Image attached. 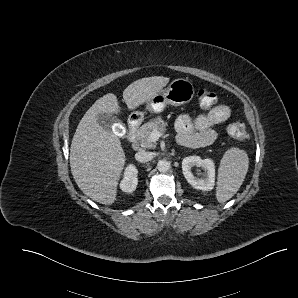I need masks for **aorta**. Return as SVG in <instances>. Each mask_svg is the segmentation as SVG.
Wrapping results in <instances>:
<instances>
[{"label": "aorta", "mask_w": 298, "mask_h": 298, "mask_svg": "<svg viewBox=\"0 0 298 298\" xmlns=\"http://www.w3.org/2000/svg\"><path fill=\"white\" fill-rule=\"evenodd\" d=\"M171 168V164L169 161L165 159L158 160L157 169L159 172L165 173Z\"/></svg>", "instance_id": "762f6f07"}]
</instances>
